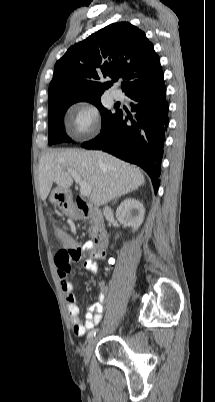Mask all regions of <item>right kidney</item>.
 <instances>
[{
	"mask_svg": "<svg viewBox=\"0 0 215 402\" xmlns=\"http://www.w3.org/2000/svg\"><path fill=\"white\" fill-rule=\"evenodd\" d=\"M145 208L138 200L128 198L116 210V218L135 232L144 220Z\"/></svg>",
	"mask_w": 215,
	"mask_h": 402,
	"instance_id": "ca27d5eb",
	"label": "right kidney"
}]
</instances>
